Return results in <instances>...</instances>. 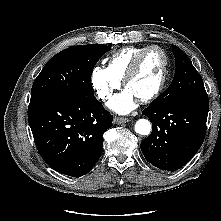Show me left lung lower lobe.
<instances>
[{
    "mask_svg": "<svg viewBox=\"0 0 221 221\" xmlns=\"http://www.w3.org/2000/svg\"><path fill=\"white\" fill-rule=\"evenodd\" d=\"M208 110V99L148 106L142 114L149 117L153 129L141 142L146 160L167 171H176L187 164L204 141Z\"/></svg>",
    "mask_w": 221,
    "mask_h": 221,
    "instance_id": "0a47b994",
    "label": "left lung lower lobe"
}]
</instances>
